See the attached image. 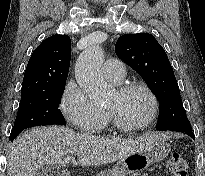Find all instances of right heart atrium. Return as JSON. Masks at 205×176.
Returning a JSON list of instances; mask_svg holds the SVG:
<instances>
[{"label": "right heart atrium", "mask_w": 205, "mask_h": 176, "mask_svg": "<svg viewBox=\"0 0 205 176\" xmlns=\"http://www.w3.org/2000/svg\"><path fill=\"white\" fill-rule=\"evenodd\" d=\"M60 108L65 118L82 131H90L106 120V112L74 81L67 83L61 97Z\"/></svg>", "instance_id": "d8ad5b80"}]
</instances>
